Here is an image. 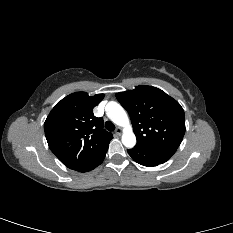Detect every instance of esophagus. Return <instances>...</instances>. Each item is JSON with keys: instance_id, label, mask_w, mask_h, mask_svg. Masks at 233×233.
I'll return each instance as SVG.
<instances>
[{"instance_id": "1", "label": "esophagus", "mask_w": 233, "mask_h": 233, "mask_svg": "<svg viewBox=\"0 0 233 233\" xmlns=\"http://www.w3.org/2000/svg\"><path fill=\"white\" fill-rule=\"evenodd\" d=\"M115 134L117 136H120L122 134V129L120 127H117L116 130H115Z\"/></svg>"}]
</instances>
